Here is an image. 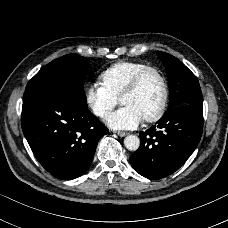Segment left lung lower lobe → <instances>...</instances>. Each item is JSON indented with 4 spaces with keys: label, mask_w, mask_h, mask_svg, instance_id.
Here are the masks:
<instances>
[{
    "label": "left lung lower lobe",
    "mask_w": 228,
    "mask_h": 228,
    "mask_svg": "<svg viewBox=\"0 0 228 228\" xmlns=\"http://www.w3.org/2000/svg\"><path fill=\"white\" fill-rule=\"evenodd\" d=\"M203 131V105L168 110L157 125L140 133L141 144L130 156L132 167L148 179L178 170L197 147Z\"/></svg>",
    "instance_id": "obj_1"
}]
</instances>
